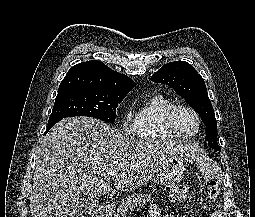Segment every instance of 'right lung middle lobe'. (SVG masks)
Masks as SVG:
<instances>
[{
    "label": "right lung middle lobe",
    "mask_w": 255,
    "mask_h": 217,
    "mask_svg": "<svg viewBox=\"0 0 255 217\" xmlns=\"http://www.w3.org/2000/svg\"><path fill=\"white\" fill-rule=\"evenodd\" d=\"M128 93H109L82 88L59 90L48 123L66 117L88 116L115 122L116 108Z\"/></svg>",
    "instance_id": "1"
}]
</instances>
